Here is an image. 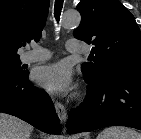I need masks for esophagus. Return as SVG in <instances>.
<instances>
[{"label": "esophagus", "instance_id": "1", "mask_svg": "<svg viewBox=\"0 0 141 139\" xmlns=\"http://www.w3.org/2000/svg\"><path fill=\"white\" fill-rule=\"evenodd\" d=\"M55 110H56V113H57L60 121L62 123H65L67 120L66 107L61 102L56 101L55 102Z\"/></svg>", "mask_w": 141, "mask_h": 139}]
</instances>
